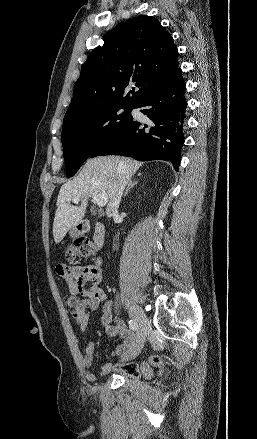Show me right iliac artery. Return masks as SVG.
<instances>
[{
	"instance_id": "82829eb1",
	"label": "right iliac artery",
	"mask_w": 257,
	"mask_h": 439,
	"mask_svg": "<svg viewBox=\"0 0 257 439\" xmlns=\"http://www.w3.org/2000/svg\"><path fill=\"white\" fill-rule=\"evenodd\" d=\"M128 324H129V328H130L132 331H136V330H137L138 325H137V322H136L135 320H132V319L129 320Z\"/></svg>"
}]
</instances>
